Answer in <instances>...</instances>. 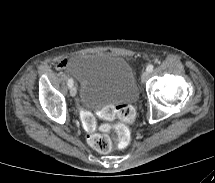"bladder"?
Here are the masks:
<instances>
[{"label": "bladder", "instance_id": "obj_1", "mask_svg": "<svg viewBox=\"0 0 215 183\" xmlns=\"http://www.w3.org/2000/svg\"><path fill=\"white\" fill-rule=\"evenodd\" d=\"M69 69L81 82L79 100L84 108L97 109L138 97L135 73L122 56L107 52L80 53L73 57Z\"/></svg>", "mask_w": 215, "mask_h": 183}]
</instances>
